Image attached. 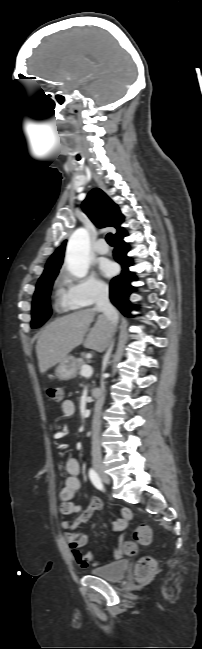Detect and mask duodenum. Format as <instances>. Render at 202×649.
<instances>
[{
    "instance_id": "obj_1",
    "label": "duodenum",
    "mask_w": 202,
    "mask_h": 649,
    "mask_svg": "<svg viewBox=\"0 0 202 649\" xmlns=\"http://www.w3.org/2000/svg\"><path fill=\"white\" fill-rule=\"evenodd\" d=\"M92 395H93L95 400H98L101 397V395L99 393H97V392H93Z\"/></svg>"
}]
</instances>
